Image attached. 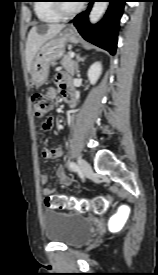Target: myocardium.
Returning <instances> with one entry per match:
<instances>
[{
    "label": "myocardium",
    "instance_id": "f54148a6",
    "mask_svg": "<svg viewBox=\"0 0 158 275\" xmlns=\"http://www.w3.org/2000/svg\"><path fill=\"white\" fill-rule=\"evenodd\" d=\"M61 2V1H54ZM53 8L56 13L61 17H72L82 10V5H78L74 9L68 10L63 3H53Z\"/></svg>",
    "mask_w": 158,
    "mask_h": 275
}]
</instances>
